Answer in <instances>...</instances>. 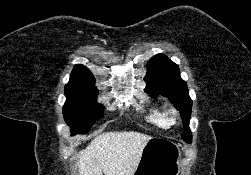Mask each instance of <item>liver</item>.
I'll list each match as a JSON object with an SVG mask.
<instances>
[{
    "instance_id": "liver-1",
    "label": "liver",
    "mask_w": 251,
    "mask_h": 175,
    "mask_svg": "<svg viewBox=\"0 0 251 175\" xmlns=\"http://www.w3.org/2000/svg\"><path fill=\"white\" fill-rule=\"evenodd\" d=\"M151 135L139 131H105L81 149L79 175H132Z\"/></svg>"
}]
</instances>
